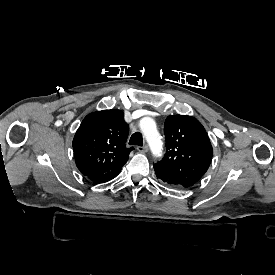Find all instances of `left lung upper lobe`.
<instances>
[{
    "instance_id": "left-lung-upper-lobe-1",
    "label": "left lung upper lobe",
    "mask_w": 275,
    "mask_h": 275,
    "mask_svg": "<svg viewBox=\"0 0 275 275\" xmlns=\"http://www.w3.org/2000/svg\"><path fill=\"white\" fill-rule=\"evenodd\" d=\"M166 154L156 164L182 187L194 185L208 170L213 148L202 124L187 115L168 116L164 124Z\"/></svg>"
}]
</instances>
